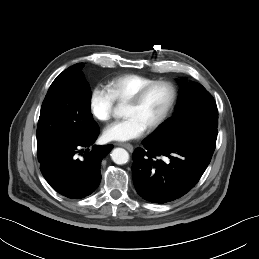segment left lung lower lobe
Masks as SVG:
<instances>
[{
	"mask_svg": "<svg viewBox=\"0 0 259 259\" xmlns=\"http://www.w3.org/2000/svg\"><path fill=\"white\" fill-rule=\"evenodd\" d=\"M217 134L196 131L171 143L149 138L133 153L132 175L137 193L153 203H167L189 192L209 165ZM164 157L169 160L163 161Z\"/></svg>",
	"mask_w": 259,
	"mask_h": 259,
	"instance_id": "obj_1",
	"label": "left lung lower lobe"
}]
</instances>
